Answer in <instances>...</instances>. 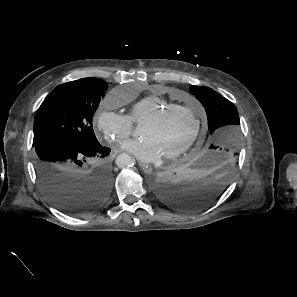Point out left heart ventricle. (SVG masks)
Listing matches in <instances>:
<instances>
[{"label": "left heart ventricle", "mask_w": 297, "mask_h": 297, "mask_svg": "<svg viewBox=\"0 0 297 297\" xmlns=\"http://www.w3.org/2000/svg\"><path fill=\"white\" fill-rule=\"evenodd\" d=\"M195 120L189 112H173L161 121L151 125H141L139 136L150 138L158 146L162 155L178 149L192 135Z\"/></svg>", "instance_id": "b2bd125f"}]
</instances>
